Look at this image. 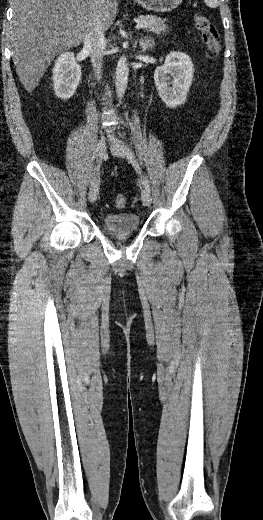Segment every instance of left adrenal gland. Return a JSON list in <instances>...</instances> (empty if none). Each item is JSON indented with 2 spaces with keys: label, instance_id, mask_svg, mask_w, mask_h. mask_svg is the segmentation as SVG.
I'll list each match as a JSON object with an SVG mask.
<instances>
[{
  "label": "left adrenal gland",
  "instance_id": "left-adrenal-gland-1",
  "mask_svg": "<svg viewBox=\"0 0 263 520\" xmlns=\"http://www.w3.org/2000/svg\"><path fill=\"white\" fill-rule=\"evenodd\" d=\"M139 45L141 46L143 51H146L147 49L153 46V39L148 36H142L140 38Z\"/></svg>",
  "mask_w": 263,
  "mask_h": 520
}]
</instances>
